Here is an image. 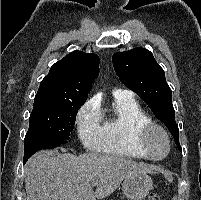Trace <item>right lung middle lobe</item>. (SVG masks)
<instances>
[{"instance_id": "obj_1", "label": "right lung middle lobe", "mask_w": 201, "mask_h": 200, "mask_svg": "<svg viewBox=\"0 0 201 200\" xmlns=\"http://www.w3.org/2000/svg\"><path fill=\"white\" fill-rule=\"evenodd\" d=\"M86 99H59L36 95L25 140L42 138L52 141L69 139L78 110Z\"/></svg>"}]
</instances>
